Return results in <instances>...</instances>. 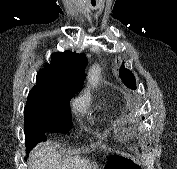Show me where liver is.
Here are the masks:
<instances>
[{
	"mask_svg": "<svg viewBox=\"0 0 177 169\" xmlns=\"http://www.w3.org/2000/svg\"><path fill=\"white\" fill-rule=\"evenodd\" d=\"M29 165L30 169H98L88 158H62L58 144L53 141L37 145L29 155Z\"/></svg>",
	"mask_w": 177,
	"mask_h": 169,
	"instance_id": "liver-1",
	"label": "liver"
}]
</instances>
